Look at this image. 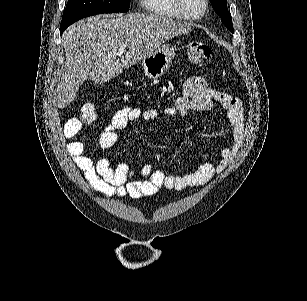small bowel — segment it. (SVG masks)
<instances>
[{"instance_id": "1", "label": "small bowel", "mask_w": 307, "mask_h": 301, "mask_svg": "<svg viewBox=\"0 0 307 301\" xmlns=\"http://www.w3.org/2000/svg\"><path fill=\"white\" fill-rule=\"evenodd\" d=\"M214 102L224 110L232 127L231 143L221 150L219 162L204 163L194 172L179 176L148 167L143 172L145 177L143 180H131L133 172L126 164L112 167L107 159L95 161L86 154L84 143L78 139L82 124L75 118L68 120L64 126L67 152L75 165L83 171L90 187L106 197L117 195L138 199L154 195L162 187L180 191L188 187L204 185L226 169L241 146L245 132L244 107L241 100L212 89L203 78L193 76L184 83L183 95L177 98L172 106L165 109L166 115L185 116L190 110H206ZM157 115L154 109L143 110L131 106L119 109L103 128L99 137L100 148L103 150L113 148L118 139V132L126 128L130 122L154 120Z\"/></svg>"}]
</instances>
